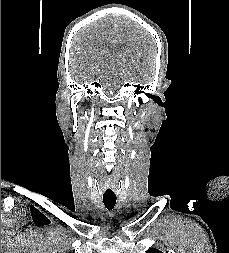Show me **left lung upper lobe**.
I'll return each instance as SVG.
<instances>
[{
    "mask_svg": "<svg viewBox=\"0 0 229 253\" xmlns=\"http://www.w3.org/2000/svg\"><path fill=\"white\" fill-rule=\"evenodd\" d=\"M147 253H162L161 251H159L158 249H150L149 251H147Z\"/></svg>",
    "mask_w": 229,
    "mask_h": 253,
    "instance_id": "5c2ea615",
    "label": "left lung upper lobe"
}]
</instances>
